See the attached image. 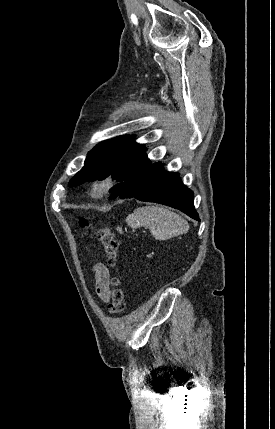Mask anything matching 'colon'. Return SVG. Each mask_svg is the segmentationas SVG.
Segmentation results:
<instances>
[{"instance_id":"5ec220e1","label":"colon","mask_w":275,"mask_h":429,"mask_svg":"<svg viewBox=\"0 0 275 429\" xmlns=\"http://www.w3.org/2000/svg\"><path fill=\"white\" fill-rule=\"evenodd\" d=\"M79 224L82 228H89V223L86 219H80ZM95 235L103 246V250L110 267H115L118 258L119 240L109 227H102L95 230ZM112 285L111 302L109 304V311L112 314H121L124 312L126 304L124 292L120 287V282L117 278H112L110 281Z\"/></svg>"}]
</instances>
